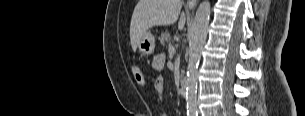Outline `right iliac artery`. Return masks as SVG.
Segmentation results:
<instances>
[{"label": "right iliac artery", "mask_w": 305, "mask_h": 116, "mask_svg": "<svg viewBox=\"0 0 305 116\" xmlns=\"http://www.w3.org/2000/svg\"><path fill=\"white\" fill-rule=\"evenodd\" d=\"M197 115V114H196ZM188 116H194V114L192 115V114H190V115H188Z\"/></svg>", "instance_id": "obj_1"}]
</instances>
